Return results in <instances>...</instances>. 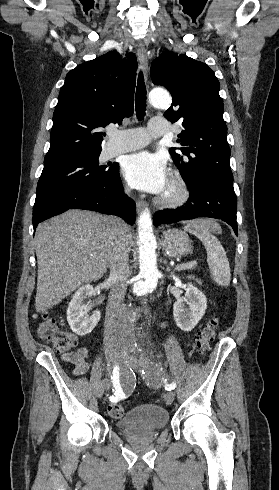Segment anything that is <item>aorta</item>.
I'll return each mask as SVG.
<instances>
[{"instance_id": "1", "label": "aorta", "mask_w": 279, "mask_h": 490, "mask_svg": "<svg viewBox=\"0 0 279 490\" xmlns=\"http://www.w3.org/2000/svg\"><path fill=\"white\" fill-rule=\"evenodd\" d=\"M149 101L157 108H168L171 98L164 90H153L149 94ZM138 243L140 279L133 285V293L144 295L152 292L158 282L159 271L157 269L156 238L153 233L151 214L145 209L138 219ZM134 314L126 306L122 309L113 323L110 325V338L113 342L128 344L134 339L133 333Z\"/></svg>"}]
</instances>
